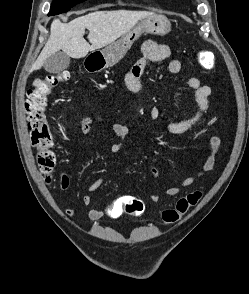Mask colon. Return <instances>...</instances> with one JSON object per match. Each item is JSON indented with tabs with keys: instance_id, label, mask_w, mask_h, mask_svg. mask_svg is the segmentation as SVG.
Instances as JSON below:
<instances>
[{
	"instance_id": "obj_1",
	"label": "colon",
	"mask_w": 249,
	"mask_h": 294,
	"mask_svg": "<svg viewBox=\"0 0 249 294\" xmlns=\"http://www.w3.org/2000/svg\"><path fill=\"white\" fill-rule=\"evenodd\" d=\"M198 62L205 70H213L215 60L207 51H199ZM68 79L66 72L55 75H48L35 80L34 87L28 91L26 110L28 124L31 133V144L36 149L37 164L40 171L50 179L56 165V155L53 151L54 135L50 128L46 109L48 99L53 90L63 81ZM202 193L194 191L181 197L174 208L165 209L161 213L162 221L165 224L177 223L192 207L201 200ZM145 212V204L142 200L132 196H125L116 199L110 208L114 217L129 215L139 217Z\"/></svg>"
}]
</instances>
